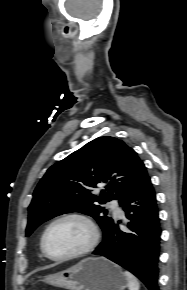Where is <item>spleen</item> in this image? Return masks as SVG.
<instances>
[{
	"instance_id": "3e777b00",
	"label": "spleen",
	"mask_w": 187,
	"mask_h": 290,
	"mask_svg": "<svg viewBox=\"0 0 187 290\" xmlns=\"http://www.w3.org/2000/svg\"><path fill=\"white\" fill-rule=\"evenodd\" d=\"M124 273H125L127 280H128L129 290H139L140 285H139V282L136 279V277L128 271H125Z\"/></svg>"
}]
</instances>
